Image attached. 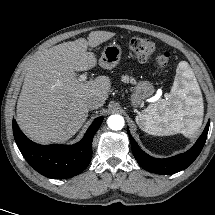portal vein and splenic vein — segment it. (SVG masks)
<instances>
[{
  "label": "portal vein and splenic vein",
  "instance_id": "18ae733b",
  "mask_svg": "<svg viewBox=\"0 0 215 215\" xmlns=\"http://www.w3.org/2000/svg\"><path fill=\"white\" fill-rule=\"evenodd\" d=\"M86 79H87V75L86 74H82L78 78L79 81H85Z\"/></svg>",
  "mask_w": 215,
  "mask_h": 215
}]
</instances>
